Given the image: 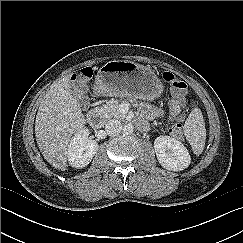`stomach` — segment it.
Wrapping results in <instances>:
<instances>
[{"mask_svg":"<svg viewBox=\"0 0 243 243\" xmlns=\"http://www.w3.org/2000/svg\"><path fill=\"white\" fill-rule=\"evenodd\" d=\"M95 84L106 96L152 100L163 92V84L151 68L131 61L107 62L98 70Z\"/></svg>","mask_w":243,"mask_h":243,"instance_id":"1","label":"stomach"}]
</instances>
